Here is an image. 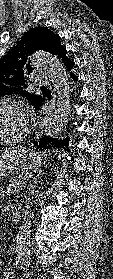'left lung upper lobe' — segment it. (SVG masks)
Here are the masks:
<instances>
[{
  "label": "left lung upper lobe",
  "mask_w": 113,
  "mask_h": 279,
  "mask_svg": "<svg viewBox=\"0 0 113 279\" xmlns=\"http://www.w3.org/2000/svg\"><path fill=\"white\" fill-rule=\"evenodd\" d=\"M36 50L47 51L63 58L66 49L61 46L60 37L50 29L37 27L27 31L19 43L0 59V96L20 92L35 106L41 96L23 91L25 75L31 72L30 55Z\"/></svg>",
  "instance_id": "left-lung-upper-lobe-1"
}]
</instances>
